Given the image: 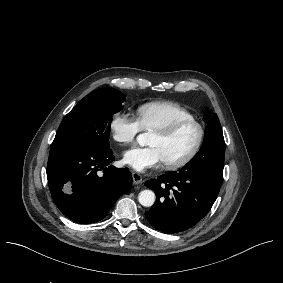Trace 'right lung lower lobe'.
<instances>
[{
    "instance_id": "obj_1",
    "label": "right lung lower lobe",
    "mask_w": 283,
    "mask_h": 283,
    "mask_svg": "<svg viewBox=\"0 0 283 283\" xmlns=\"http://www.w3.org/2000/svg\"><path fill=\"white\" fill-rule=\"evenodd\" d=\"M112 161V150L50 149L48 184L55 204L66 217L83 224L100 221L116 200L129 191L131 173L127 168L107 167Z\"/></svg>"
}]
</instances>
